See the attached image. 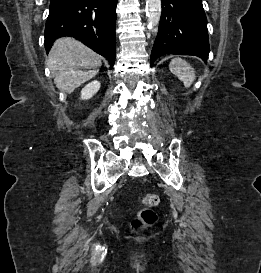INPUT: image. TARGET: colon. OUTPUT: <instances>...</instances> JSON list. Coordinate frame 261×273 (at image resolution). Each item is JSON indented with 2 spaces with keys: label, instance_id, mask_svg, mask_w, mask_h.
Segmentation results:
<instances>
[{
  "label": "colon",
  "instance_id": "1",
  "mask_svg": "<svg viewBox=\"0 0 261 273\" xmlns=\"http://www.w3.org/2000/svg\"><path fill=\"white\" fill-rule=\"evenodd\" d=\"M142 203L145 206L152 207L158 203V197L155 194H146L142 198ZM157 219V215L151 209H142L138 214L136 219L133 221L135 227H143L152 225Z\"/></svg>",
  "mask_w": 261,
  "mask_h": 273
}]
</instances>
